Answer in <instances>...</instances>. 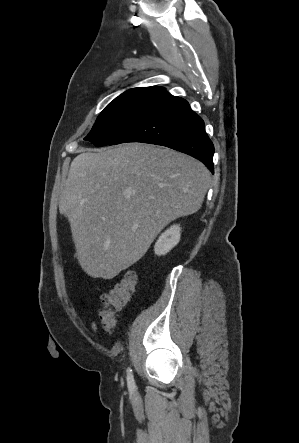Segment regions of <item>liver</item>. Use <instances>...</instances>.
Segmentation results:
<instances>
[{
    "instance_id": "1",
    "label": "liver",
    "mask_w": 299,
    "mask_h": 443,
    "mask_svg": "<svg viewBox=\"0 0 299 443\" xmlns=\"http://www.w3.org/2000/svg\"><path fill=\"white\" fill-rule=\"evenodd\" d=\"M210 172L195 158L129 143L74 158L59 199L79 265L111 279L140 260L171 221L196 213Z\"/></svg>"
}]
</instances>
